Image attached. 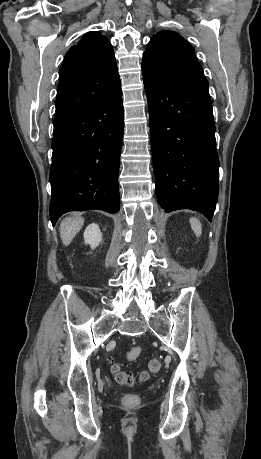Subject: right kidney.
Masks as SVG:
<instances>
[{
  "mask_svg": "<svg viewBox=\"0 0 261 459\" xmlns=\"http://www.w3.org/2000/svg\"><path fill=\"white\" fill-rule=\"evenodd\" d=\"M85 244H89L92 249L96 248L102 241V233L97 224H90L84 232Z\"/></svg>",
  "mask_w": 261,
  "mask_h": 459,
  "instance_id": "ca27d5eb",
  "label": "right kidney"
}]
</instances>
